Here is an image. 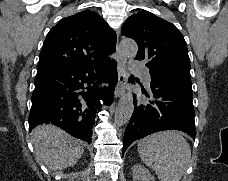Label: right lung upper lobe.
I'll return each instance as SVG.
<instances>
[{"label": "right lung upper lobe", "mask_w": 228, "mask_h": 181, "mask_svg": "<svg viewBox=\"0 0 228 181\" xmlns=\"http://www.w3.org/2000/svg\"><path fill=\"white\" fill-rule=\"evenodd\" d=\"M116 50V34L91 10L59 21L48 33L37 67V75L96 62Z\"/></svg>", "instance_id": "1"}]
</instances>
